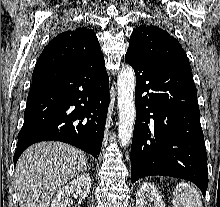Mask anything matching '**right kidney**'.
<instances>
[{
    "instance_id": "ca27d5eb",
    "label": "right kidney",
    "mask_w": 220,
    "mask_h": 207,
    "mask_svg": "<svg viewBox=\"0 0 220 207\" xmlns=\"http://www.w3.org/2000/svg\"><path fill=\"white\" fill-rule=\"evenodd\" d=\"M91 188V178L89 174H82L77 176L69 184H66L57 191L51 207H71V193L76 191L79 196L84 199L88 196Z\"/></svg>"
}]
</instances>
